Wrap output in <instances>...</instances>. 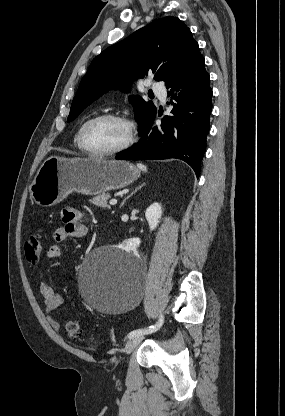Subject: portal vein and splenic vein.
Masks as SVG:
<instances>
[{
	"label": "portal vein and splenic vein",
	"instance_id": "18ae733b",
	"mask_svg": "<svg viewBox=\"0 0 285 416\" xmlns=\"http://www.w3.org/2000/svg\"><path fill=\"white\" fill-rule=\"evenodd\" d=\"M109 204L110 206H115V204H117V200H110Z\"/></svg>",
	"mask_w": 285,
	"mask_h": 416
}]
</instances>
